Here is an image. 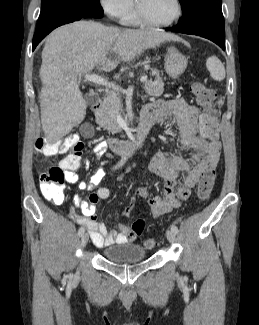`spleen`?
<instances>
[{"label":"spleen","mask_w":259,"mask_h":325,"mask_svg":"<svg viewBox=\"0 0 259 325\" xmlns=\"http://www.w3.org/2000/svg\"><path fill=\"white\" fill-rule=\"evenodd\" d=\"M206 67L214 80L222 81L225 78V67L216 56L208 57L206 60Z\"/></svg>","instance_id":"obj_1"}]
</instances>
